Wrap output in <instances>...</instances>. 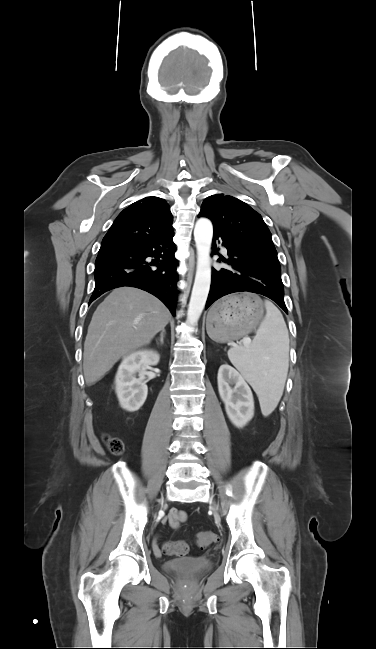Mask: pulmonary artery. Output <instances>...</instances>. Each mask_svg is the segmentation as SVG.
Masks as SVG:
<instances>
[{
  "instance_id": "obj_1",
  "label": "pulmonary artery",
  "mask_w": 376,
  "mask_h": 649,
  "mask_svg": "<svg viewBox=\"0 0 376 649\" xmlns=\"http://www.w3.org/2000/svg\"><path fill=\"white\" fill-rule=\"evenodd\" d=\"M222 251H223L224 253H227V250H226L225 248H223Z\"/></svg>"
}]
</instances>
